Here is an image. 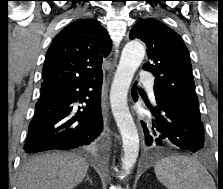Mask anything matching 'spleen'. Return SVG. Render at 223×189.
<instances>
[{
    "mask_svg": "<svg viewBox=\"0 0 223 189\" xmlns=\"http://www.w3.org/2000/svg\"><path fill=\"white\" fill-rule=\"evenodd\" d=\"M160 183L167 189H215L213 178L196 159L187 156H170L154 167Z\"/></svg>",
    "mask_w": 223,
    "mask_h": 189,
    "instance_id": "3e777b00",
    "label": "spleen"
}]
</instances>
